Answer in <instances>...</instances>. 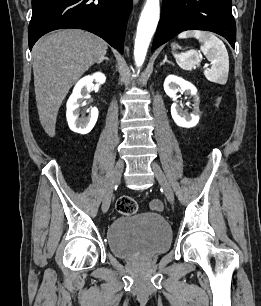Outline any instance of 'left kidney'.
Returning a JSON list of instances; mask_svg holds the SVG:
<instances>
[{
    "instance_id": "obj_1",
    "label": "left kidney",
    "mask_w": 261,
    "mask_h": 306,
    "mask_svg": "<svg viewBox=\"0 0 261 306\" xmlns=\"http://www.w3.org/2000/svg\"><path fill=\"white\" fill-rule=\"evenodd\" d=\"M164 90L165 93L172 98L174 101L177 98V92L182 91L187 94H190L194 98V104H193V112L191 114L185 113L182 111V109L177 105L176 102H174L171 106V115L174 120V122L184 128H192L197 125L199 122V97L197 95V89L196 87L184 79L169 75L164 82Z\"/></svg>"
}]
</instances>
